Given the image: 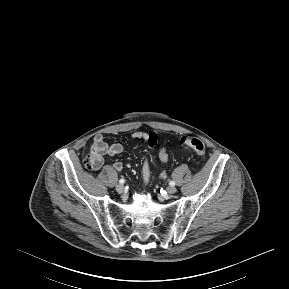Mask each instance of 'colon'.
Wrapping results in <instances>:
<instances>
[{
    "mask_svg": "<svg viewBox=\"0 0 289 289\" xmlns=\"http://www.w3.org/2000/svg\"><path fill=\"white\" fill-rule=\"evenodd\" d=\"M157 140L158 138H157L156 133H151L149 140H148V145L150 147H154L157 144ZM181 140L186 146L192 148L201 159L204 158L205 147H204L203 142L200 139L193 137V136H184L182 137ZM158 157L162 162L168 161L169 155H168L167 150L164 147H161L159 149ZM83 163H84V166L88 169H93L95 167V160L92 155L86 156L84 158ZM150 173H151L150 160L149 158H145L143 162V166H142V179L145 184L149 182Z\"/></svg>",
    "mask_w": 289,
    "mask_h": 289,
    "instance_id": "5ec220e1",
    "label": "colon"
}]
</instances>
